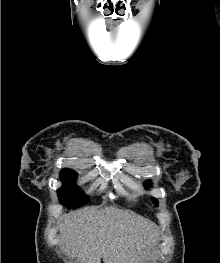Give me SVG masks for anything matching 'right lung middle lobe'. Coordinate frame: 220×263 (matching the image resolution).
<instances>
[{"mask_svg": "<svg viewBox=\"0 0 220 263\" xmlns=\"http://www.w3.org/2000/svg\"><path fill=\"white\" fill-rule=\"evenodd\" d=\"M77 173L71 169H64L61 172L60 178L64 185L58 189V197L62 204L68 208H76L86 204L89 201L88 196L82 198V192L74 184Z\"/></svg>", "mask_w": 220, "mask_h": 263, "instance_id": "right-lung-middle-lobe-1", "label": "right lung middle lobe"}]
</instances>
